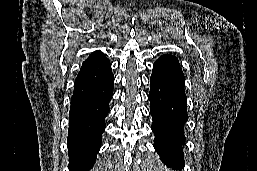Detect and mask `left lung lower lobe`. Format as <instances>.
Segmentation results:
<instances>
[{
    "label": "left lung lower lobe",
    "mask_w": 257,
    "mask_h": 171,
    "mask_svg": "<svg viewBox=\"0 0 257 171\" xmlns=\"http://www.w3.org/2000/svg\"><path fill=\"white\" fill-rule=\"evenodd\" d=\"M150 113L155 134L154 148L172 169L184 167L183 127L188 119L184 74L178 59L162 55L153 65L150 78Z\"/></svg>",
    "instance_id": "obj_1"
}]
</instances>
